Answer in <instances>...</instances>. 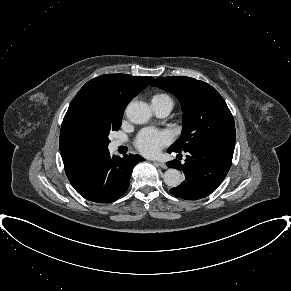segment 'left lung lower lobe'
<instances>
[{
    "label": "left lung lower lobe",
    "instance_id": "0a47b994",
    "mask_svg": "<svg viewBox=\"0 0 291 291\" xmlns=\"http://www.w3.org/2000/svg\"><path fill=\"white\" fill-rule=\"evenodd\" d=\"M234 148L235 142H213L184 150L187 154L184 164L178 160L166 163L169 168H177L185 176V181L171 188L170 193L186 200H197L210 195L227 175ZM168 152L173 151L168 149Z\"/></svg>",
    "mask_w": 291,
    "mask_h": 291
}]
</instances>
